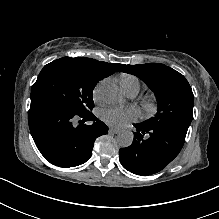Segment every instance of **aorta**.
<instances>
[{"mask_svg":"<svg viewBox=\"0 0 219 219\" xmlns=\"http://www.w3.org/2000/svg\"><path fill=\"white\" fill-rule=\"evenodd\" d=\"M103 96L107 103L111 105H122L124 98L118 91L116 86L108 85L103 89ZM133 142V133L130 131H122L117 135V143L121 147H128Z\"/></svg>","mask_w":219,"mask_h":219,"instance_id":"762f6f07","label":"aorta"}]
</instances>
